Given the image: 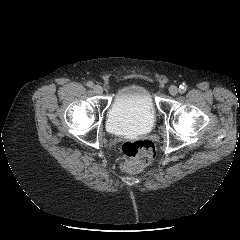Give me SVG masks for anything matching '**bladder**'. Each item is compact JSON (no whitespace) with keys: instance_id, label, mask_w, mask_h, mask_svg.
Wrapping results in <instances>:
<instances>
[{"instance_id":"bladder-1","label":"bladder","mask_w":240,"mask_h":240,"mask_svg":"<svg viewBox=\"0 0 240 240\" xmlns=\"http://www.w3.org/2000/svg\"><path fill=\"white\" fill-rule=\"evenodd\" d=\"M157 109L150 89L138 82L122 87L107 111L106 125L113 134H143L153 129Z\"/></svg>"}]
</instances>
